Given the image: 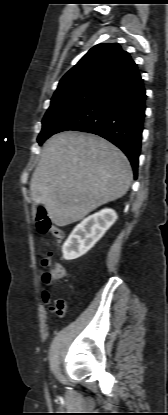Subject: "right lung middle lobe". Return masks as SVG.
<instances>
[{
    "mask_svg": "<svg viewBox=\"0 0 168 415\" xmlns=\"http://www.w3.org/2000/svg\"><path fill=\"white\" fill-rule=\"evenodd\" d=\"M101 93L102 91L81 90L52 99L51 105L42 120V130L37 139L38 143L41 145L47 138L55 134L65 122Z\"/></svg>",
    "mask_w": 168,
    "mask_h": 415,
    "instance_id": "1",
    "label": "right lung middle lobe"
}]
</instances>
